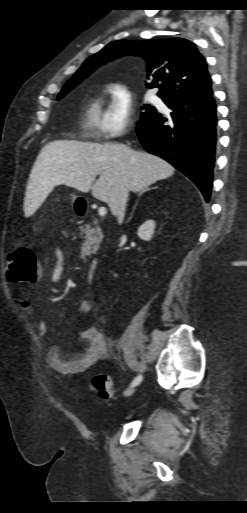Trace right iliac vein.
<instances>
[{
    "mask_svg": "<svg viewBox=\"0 0 247 513\" xmlns=\"http://www.w3.org/2000/svg\"><path fill=\"white\" fill-rule=\"evenodd\" d=\"M134 390H135V389H134L133 387L128 388V389L123 393V396H124V397H129V396H131V395L134 393Z\"/></svg>",
    "mask_w": 247,
    "mask_h": 513,
    "instance_id": "right-iliac-vein-1",
    "label": "right iliac vein"
}]
</instances>
